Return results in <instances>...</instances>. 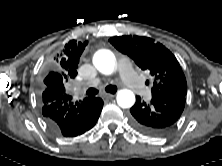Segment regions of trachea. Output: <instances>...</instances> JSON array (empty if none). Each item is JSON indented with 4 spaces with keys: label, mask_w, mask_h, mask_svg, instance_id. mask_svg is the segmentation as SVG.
Masks as SVG:
<instances>
[{
    "label": "trachea",
    "mask_w": 222,
    "mask_h": 166,
    "mask_svg": "<svg viewBox=\"0 0 222 166\" xmlns=\"http://www.w3.org/2000/svg\"><path fill=\"white\" fill-rule=\"evenodd\" d=\"M105 91L111 94H114L117 91V87L114 85H109L105 88ZM98 93V90L95 88H89L86 92L88 96H95Z\"/></svg>",
    "instance_id": "trachea-1"
}]
</instances>
